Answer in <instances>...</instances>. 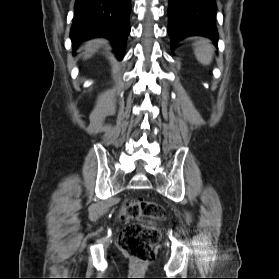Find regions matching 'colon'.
I'll return each instance as SVG.
<instances>
[{"mask_svg": "<svg viewBox=\"0 0 279 279\" xmlns=\"http://www.w3.org/2000/svg\"><path fill=\"white\" fill-rule=\"evenodd\" d=\"M164 215V207L159 203L144 199L125 201L121 218L126 225L119 237L120 249L136 261L153 260L161 238L158 222Z\"/></svg>", "mask_w": 279, "mask_h": 279, "instance_id": "5ec220e1", "label": "colon"}]
</instances>
